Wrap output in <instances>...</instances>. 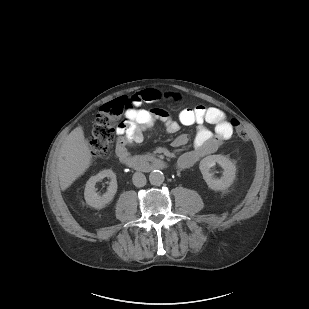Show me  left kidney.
<instances>
[{"mask_svg": "<svg viewBox=\"0 0 309 309\" xmlns=\"http://www.w3.org/2000/svg\"><path fill=\"white\" fill-rule=\"evenodd\" d=\"M216 163L224 169L223 176L220 179L213 178L210 173V168L216 165ZM199 169L208 187L215 191H222L229 188L235 179L236 166L223 155H210L205 157L200 161Z\"/></svg>", "mask_w": 309, "mask_h": 309, "instance_id": "1", "label": "left kidney"}]
</instances>
